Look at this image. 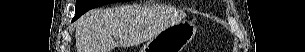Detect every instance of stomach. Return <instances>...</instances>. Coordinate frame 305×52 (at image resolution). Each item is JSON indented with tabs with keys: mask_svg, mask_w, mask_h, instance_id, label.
<instances>
[{
	"mask_svg": "<svg viewBox=\"0 0 305 52\" xmlns=\"http://www.w3.org/2000/svg\"><path fill=\"white\" fill-rule=\"evenodd\" d=\"M196 33L197 27L190 21L174 23L148 40L140 52H182Z\"/></svg>",
	"mask_w": 305,
	"mask_h": 52,
	"instance_id": "obj_1",
	"label": "stomach"
}]
</instances>
